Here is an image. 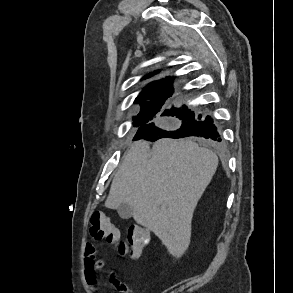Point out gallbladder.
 <instances>
[{"instance_id":"gallbladder-1","label":"gallbladder","mask_w":293,"mask_h":293,"mask_svg":"<svg viewBox=\"0 0 293 293\" xmlns=\"http://www.w3.org/2000/svg\"><path fill=\"white\" fill-rule=\"evenodd\" d=\"M117 212L122 219H129L132 216V207L126 203H121Z\"/></svg>"}]
</instances>
